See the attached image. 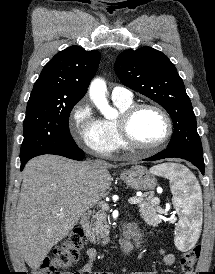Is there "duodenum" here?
Here are the masks:
<instances>
[{
	"instance_id": "410a0bca",
	"label": "duodenum",
	"mask_w": 215,
	"mask_h": 274,
	"mask_svg": "<svg viewBox=\"0 0 215 274\" xmlns=\"http://www.w3.org/2000/svg\"><path fill=\"white\" fill-rule=\"evenodd\" d=\"M89 223V215L88 214H83L80 219H79V224L82 230H86L87 226ZM118 253L121 256L127 255L131 249H132V242L128 236H126L123 241L118 245L117 247Z\"/></svg>"
}]
</instances>
